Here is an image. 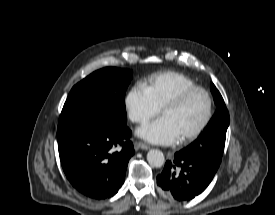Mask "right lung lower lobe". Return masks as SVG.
<instances>
[{
    "instance_id": "1",
    "label": "right lung lower lobe",
    "mask_w": 275,
    "mask_h": 215,
    "mask_svg": "<svg viewBox=\"0 0 275 215\" xmlns=\"http://www.w3.org/2000/svg\"><path fill=\"white\" fill-rule=\"evenodd\" d=\"M130 135L126 124L57 130L59 156L67 179L79 192L94 199L116 194L134 154ZM117 146L122 149L114 151Z\"/></svg>"
}]
</instances>
